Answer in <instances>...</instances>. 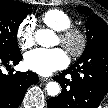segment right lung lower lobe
I'll use <instances>...</instances> for the list:
<instances>
[{
  "label": "right lung lower lobe",
  "instance_id": "98d812e1",
  "mask_svg": "<svg viewBox=\"0 0 108 108\" xmlns=\"http://www.w3.org/2000/svg\"><path fill=\"white\" fill-rule=\"evenodd\" d=\"M22 60L21 53L15 55H4L0 53V108H17L23 98L27 88L38 82L37 74L28 72H9L3 74L1 67L9 64H18Z\"/></svg>",
  "mask_w": 108,
  "mask_h": 108
}]
</instances>
